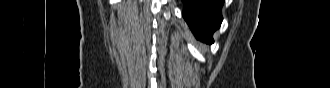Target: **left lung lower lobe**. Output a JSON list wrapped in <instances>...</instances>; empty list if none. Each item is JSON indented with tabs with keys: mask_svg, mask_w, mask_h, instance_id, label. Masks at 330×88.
I'll list each match as a JSON object with an SVG mask.
<instances>
[{
	"mask_svg": "<svg viewBox=\"0 0 330 88\" xmlns=\"http://www.w3.org/2000/svg\"><path fill=\"white\" fill-rule=\"evenodd\" d=\"M225 0H183V17L195 37L213 42V33L223 20L221 8Z\"/></svg>",
	"mask_w": 330,
	"mask_h": 88,
	"instance_id": "left-lung-lower-lobe-1",
	"label": "left lung lower lobe"
}]
</instances>
